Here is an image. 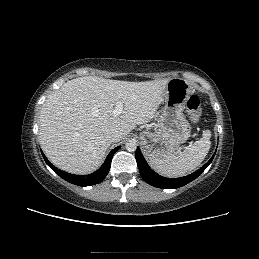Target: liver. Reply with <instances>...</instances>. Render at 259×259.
<instances>
[{
	"mask_svg": "<svg viewBox=\"0 0 259 259\" xmlns=\"http://www.w3.org/2000/svg\"><path fill=\"white\" fill-rule=\"evenodd\" d=\"M170 79L128 82L85 76L70 80L46 99L39 141L48 159L73 174H89L103 163L111 130L126 137L150 122ZM124 106L119 117L114 106Z\"/></svg>",
	"mask_w": 259,
	"mask_h": 259,
	"instance_id": "6515ba94",
	"label": "liver"
}]
</instances>
